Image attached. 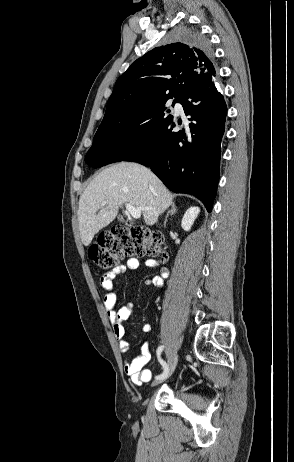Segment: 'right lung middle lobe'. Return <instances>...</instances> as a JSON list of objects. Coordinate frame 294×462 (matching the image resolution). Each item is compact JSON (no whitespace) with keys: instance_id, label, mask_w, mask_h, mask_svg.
Returning <instances> with one entry per match:
<instances>
[{"instance_id":"1","label":"right lung middle lobe","mask_w":294,"mask_h":462,"mask_svg":"<svg viewBox=\"0 0 294 462\" xmlns=\"http://www.w3.org/2000/svg\"><path fill=\"white\" fill-rule=\"evenodd\" d=\"M175 37L197 46L210 50L208 40L197 30L180 28ZM175 97L172 106L179 102L180 96H165L143 101L125 110L107 115L103 118L88 151L85 161L101 156L104 165L122 161L128 154L144 143L166 123L173 119L167 105L170 98Z\"/></svg>"}]
</instances>
